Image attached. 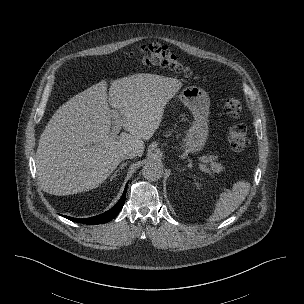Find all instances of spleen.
Instances as JSON below:
<instances>
[{"instance_id":"spleen-1","label":"spleen","mask_w":304,"mask_h":304,"mask_svg":"<svg viewBox=\"0 0 304 304\" xmlns=\"http://www.w3.org/2000/svg\"><path fill=\"white\" fill-rule=\"evenodd\" d=\"M250 190V183L245 180L234 184L231 191L223 192L219 196V201L215 204L213 214L209 217L210 221H219L228 217L245 200Z\"/></svg>"}]
</instances>
